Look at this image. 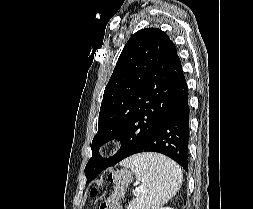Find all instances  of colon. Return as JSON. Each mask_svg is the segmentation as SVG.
<instances>
[{"mask_svg":"<svg viewBox=\"0 0 253 209\" xmlns=\"http://www.w3.org/2000/svg\"><path fill=\"white\" fill-rule=\"evenodd\" d=\"M109 179L114 183L113 192L107 200L100 203L99 209H119L118 203L124 195L125 187L131 180V174L129 171H117L110 174ZM90 193L92 197H96L98 189L92 187Z\"/></svg>","mask_w":253,"mask_h":209,"instance_id":"colon-1","label":"colon"}]
</instances>
